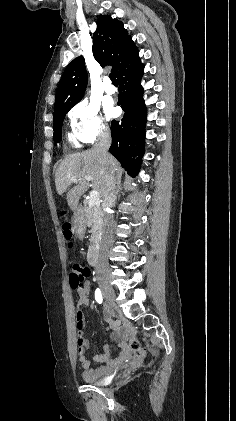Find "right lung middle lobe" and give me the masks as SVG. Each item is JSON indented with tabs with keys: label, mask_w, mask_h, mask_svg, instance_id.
I'll list each match as a JSON object with an SVG mask.
<instances>
[{
	"label": "right lung middle lobe",
	"mask_w": 236,
	"mask_h": 421,
	"mask_svg": "<svg viewBox=\"0 0 236 421\" xmlns=\"http://www.w3.org/2000/svg\"><path fill=\"white\" fill-rule=\"evenodd\" d=\"M75 104L72 105H67V106H63L60 108H57L54 110V124H53V129H54V141L55 142H60L61 141V131H62V123L63 120L65 118L66 113L74 106Z\"/></svg>",
	"instance_id": "obj_1"
}]
</instances>
